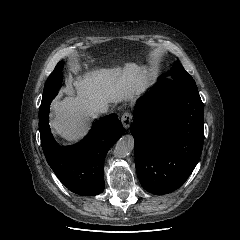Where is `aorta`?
<instances>
[{"instance_id": "aorta-1", "label": "aorta", "mask_w": 240, "mask_h": 240, "mask_svg": "<svg viewBox=\"0 0 240 240\" xmlns=\"http://www.w3.org/2000/svg\"><path fill=\"white\" fill-rule=\"evenodd\" d=\"M134 148V139L131 135H125L119 139L114 148V155L119 158L128 156Z\"/></svg>"}]
</instances>
